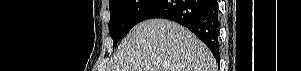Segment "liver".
Wrapping results in <instances>:
<instances>
[{
    "mask_svg": "<svg viewBox=\"0 0 301 71\" xmlns=\"http://www.w3.org/2000/svg\"><path fill=\"white\" fill-rule=\"evenodd\" d=\"M108 71H216V61L188 29L169 20L153 19L132 28Z\"/></svg>",
    "mask_w": 301,
    "mask_h": 71,
    "instance_id": "1",
    "label": "liver"
}]
</instances>
